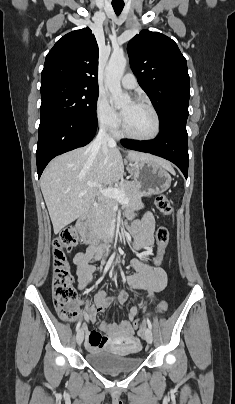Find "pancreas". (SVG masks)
Listing matches in <instances>:
<instances>
[{"label": "pancreas", "mask_w": 235, "mask_h": 404, "mask_svg": "<svg viewBox=\"0 0 235 404\" xmlns=\"http://www.w3.org/2000/svg\"><path fill=\"white\" fill-rule=\"evenodd\" d=\"M119 189L128 197L127 206L130 208H140L142 206L141 192L139 186L135 182L124 181L120 184ZM118 200L113 198L104 199L95 212L93 222L94 231L98 235H106L110 224L117 216Z\"/></svg>", "instance_id": "1"}]
</instances>
